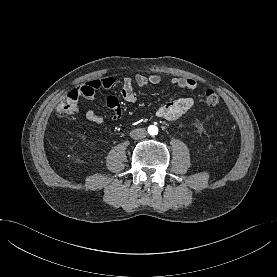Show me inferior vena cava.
<instances>
[{"label":"inferior vena cava","mask_w":277,"mask_h":277,"mask_svg":"<svg viewBox=\"0 0 277 277\" xmlns=\"http://www.w3.org/2000/svg\"><path fill=\"white\" fill-rule=\"evenodd\" d=\"M147 135L146 130L144 128H138V129H134L130 132V137L133 139H143L145 138Z\"/></svg>","instance_id":"1"}]
</instances>
